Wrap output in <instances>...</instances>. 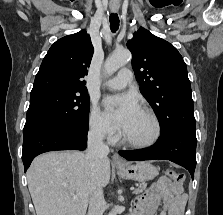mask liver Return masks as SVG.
Masks as SVG:
<instances>
[{"instance_id":"obj_1","label":"liver","mask_w":223,"mask_h":215,"mask_svg":"<svg viewBox=\"0 0 223 215\" xmlns=\"http://www.w3.org/2000/svg\"><path fill=\"white\" fill-rule=\"evenodd\" d=\"M110 161L104 157L98 175L83 151H48L33 159L27 181L37 215H85L94 181L107 185ZM72 195H77L72 199Z\"/></svg>"}]
</instances>
